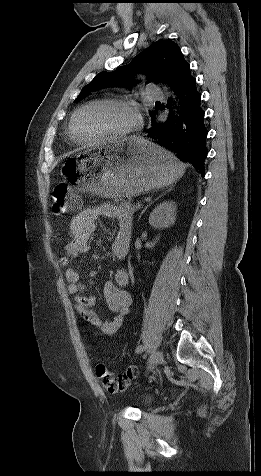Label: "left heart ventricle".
I'll return each mask as SVG.
<instances>
[{"label": "left heart ventricle", "mask_w": 261, "mask_h": 476, "mask_svg": "<svg viewBox=\"0 0 261 476\" xmlns=\"http://www.w3.org/2000/svg\"><path fill=\"white\" fill-rule=\"evenodd\" d=\"M132 113L119 105L97 104L83 110L76 121V130L84 139H95L127 128Z\"/></svg>", "instance_id": "left-heart-ventricle-1"}]
</instances>
